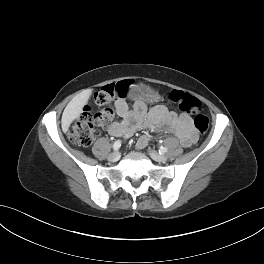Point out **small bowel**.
<instances>
[{
  "label": "small bowel",
  "mask_w": 264,
  "mask_h": 264,
  "mask_svg": "<svg viewBox=\"0 0 264 264\" xmlns=\"http://www.w3.org/2000/svg\"><path fill=\"white\" fill-rule=\"evenodd\" d=\"M115 109L119 120L108 127L109 133L114 136L129 137L142 128L154 130L166 128L178 137L183 147H190L197 141L198 136L192 120L185 113L176 114L162 105L155 106L148 112L143 101H136L133 108L129 109L127 102L121 98L115 101ZM149 140L148 134L140 136L137 148H145Z\"/></svg>",
  "instance_id": "obj_1"
}]
</instances>
